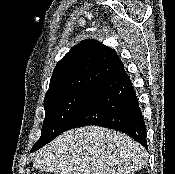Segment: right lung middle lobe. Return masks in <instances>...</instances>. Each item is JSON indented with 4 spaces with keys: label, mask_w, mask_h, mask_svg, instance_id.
<instances>
[{
    "label": "right lung middle lobe",
    "mask_w": 175,
    "mask_h": 174,
    "mask_svg": "<svg viewBox=\"0 0 175 174\" xmlns=\"http://www.w3.org/2000/svg\"><path fill=\"white\" fill-rule=\"evenodd\" d=\"M91 90H76L55 95L44 100L45 119L41 137L32 151L46 145L62 132L74 118Z\"/></svg>",
    "instance_id": "right-lung-middle-lobe-1"
}]
</instances>
